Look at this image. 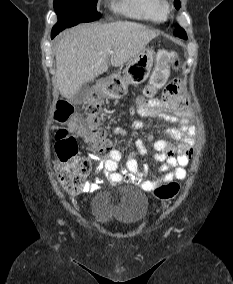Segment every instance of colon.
Returning a JSON list of instances; mask_svg holds the SVG:
<instances>
[{"mask_svg": "<svg viewBox=\"0 0 233 284\" xmlns=\"http://www.w3.org/2000/svg\"><path fill=\"white\" fill-rule=\"evenodd\" d=\"M179 61L177 55L170 50L162 49L156 54V66L150 77L149 83L143 91V98L154 97L157 92L166 84L170 69H176ZM101 102L97 99L91 101L86 113L88 116V131L85 141L95 153L108 155L113 151L110 140L107 139L105 128L98 120V113ZM74 107L66 101H58L56 105L55 118L59 122H66L73 114ZM55 153L58 160L56 174L63 189L69 193L80 190L91 168L89 159L78 156V149L75 137L66 129H59L55 136ZM180 190L176 182H170L157 186L153 193L161 200L174 198Z\"/></svg>", "mask_w": 233, "mask_h": 284, "instance_id": "obj_1", "label": "colon"}]
</instances>
